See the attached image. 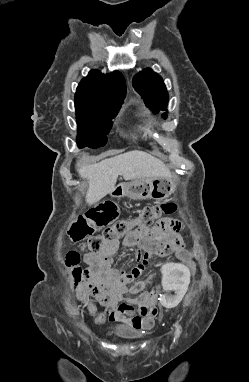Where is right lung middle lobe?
I'll return each mask as SVG.
<instances>
[{
	"instance_id": "dd1d6c3e",
	"label": "right lung middle lobe",
	"mask_w": 249,
	"mask_h": 382,
	"mask_svg": "<svg viewBox=\"0 0 249 382\" xmlns=\"http://www.w3.org/2000/svg\"><path fill=\"white\" fill-rule=\"evenodd\" d=\"M118 110L103 106L76 108L78 124L77 144L79 148H98L107 142L106 134L112 127V119Z\"/></svg>"
}]
</instances>
